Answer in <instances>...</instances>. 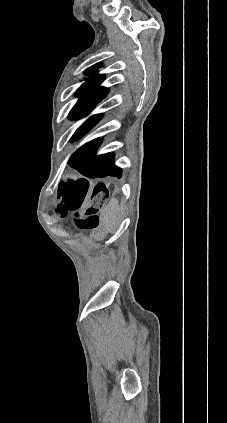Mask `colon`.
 Returning <instances> with one entry per match:
<instances>
[{"label": "colon", "instance_id": "obj_1", "mask_svg": "<svg viewBox=\"0 0 227 423\" xmlns=\"http://www.w3.org/2000/svg\"><path fill=\"white\" fill-rule=\"evenodd\" d=\"M87 184L77 182L69 187L61 186L58 191V198L61 200L59 211L62 213L76 212L81 207L85 195ZM106 189L99 184L94 190L91 203L87 207L85 218L78 222V226L83 229H93L98 226L97 213L106 198Z\"/></svg>", "mask_w": 227, "mask_h": 423}]
</instances>
